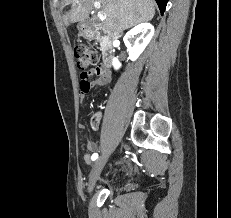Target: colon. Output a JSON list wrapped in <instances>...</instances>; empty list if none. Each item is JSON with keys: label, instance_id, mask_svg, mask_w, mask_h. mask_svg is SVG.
Instances as JSON below:
<instances>
[{"label": "colon", "instance_id": "5ec220e1", "mask_svg": "<svg viewBox=\"0 0 231 218\" xmlns=\"http://www.w3.org/2000/svg\"><path fill=\"white\" fill-rule=\"evenodd\" d=\"M74 57L77 61L78 68L82 69H91L92 66H97L99 64V54L97 51L89 48L86 45H76L73 50ZM92 124L96 123V117H91Z\"/></svg>", "mask_w": 231, "mask_h": 218}]
</instances>
